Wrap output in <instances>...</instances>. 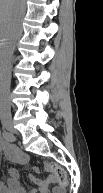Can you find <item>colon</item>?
I'll use <instances>...</instances> for the list:
<instances>
[{
  "label": "colon",
  "instance_id": "1",
  "mask_svg": "<svg viewBox=\"0 0 103 193\" xmlns=\"http://www.w3.org/2000/svg\"><path fill=\"white\" fill-rule=\"evenodd\" d=\"M45 169L52 173L61 185L67 184V173L62 167L57 164L49 163L46 164Z\"/></svg>",
  "mask_w": 103,
  "mask_h": 193
}]
</instances>
